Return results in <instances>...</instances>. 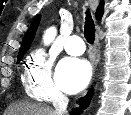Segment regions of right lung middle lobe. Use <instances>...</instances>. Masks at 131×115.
<instances>
[{"mask_svg": "<svg viewBox=\"0 0 131 115\" xmlns=\"http://www.w3.org/2000/svg\"><path fill=\"white\" fill-rule=\"evenodd\" d=\"M23 56H24V54L18 56V58H17V63H19V62L21 61V59L23 58Z\"/></svg>", "mask_w": 131, "mask_h": 115, "instance_id": "obj_1", "label": "right lung middle lobe"}]
</instances>
